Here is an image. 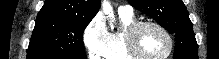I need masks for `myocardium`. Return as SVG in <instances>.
<instances>
[{"mask_svg":"<svg viewBox=\"0 0 219 59\" xmlns=\"http://www.w3.org/2000/svg\"><path fill=\"white\" fill-rule=\"evenodd\" d=\"M151 26L158 29L164 34L168 41V50L166 54L160 57H147L141 53L138 47V35L142 28ZM125 43L128 53L135 59H167L171 56L174 49V40L170 32L160 23L152 20L136 21L134 24L129 26L125 32Z\"/></svg>","mask_w":219,"mask_h":59,"instance_id":"1","label":"myocardium"}]
</instances>
